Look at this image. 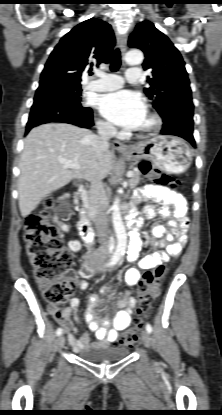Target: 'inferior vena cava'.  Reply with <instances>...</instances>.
Masks as SVG:
<instances>
[{"label":"inferior vena cava","mask_w":222,"mask_h":415,"mask_svg":"<svg viewBox=\"0 0 222 415\" xmlns=\"http://www.w3.org/2000/svg\"><path fill=\"white\" fill-rule=\"evenodd\" d=\"M98 135H92L90 143L97 156H102L109 147V140L116 135L117 130L111 123H98ZM90 215L95 224L100 247L95 252L96 256H106L108 252L109 231L106 215L107 197L103 188L102 179L92 180L90 186Z\"/></svg>","instance_id":"1"}]
</instances>
